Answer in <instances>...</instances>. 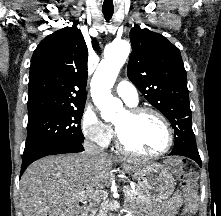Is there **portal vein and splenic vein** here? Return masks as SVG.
<instances>
[{
	"label": "portal vein and splenic vein",
	"mask_w": 221,
	"mask_h": 216,
	"mask_svg": "<svg viewBox=\"0 0 221 216\" xmlns=\"http://www.w3.org/2000/svg\"><path fill=\"white\" fill-rule=\"evenodd\" d=\"M129 189H130L129 186L123 187L124 192L129 191ZM106 197H107V192L104 190H96V191L89 190L87 191V193H83L79 196V198L82 199V201L87 200V199L100 201L101 199L106 198Z\"/></svg>",
	"instance_id": "18ae733b"
}]
</instances>
